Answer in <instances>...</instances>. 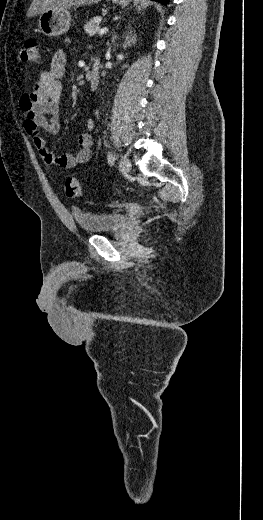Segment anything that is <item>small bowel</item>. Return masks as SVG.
I'll return each mask as SVG.
<instances>
[{
	"label": "small bowel",
	"instance_id": "c3829d8e",
	"mask_svg": "<svg viewBox=\"0 0 263 520\" xmlns=\"http://www.w3.org/2000/svg\"><path fill=\"white\" fill-rule=\"evenodd\" d=\"M67 64V56L63 50L54 53L50 68L40 74L31 92L22 95L20 108L25 114L23 127L32 138L40 157L46 164H55L62 168H73L87 163L93 154L91 132L94 122L85 121L84 131L79 135L80 150L76 154L55 155L47 147L46 139L40 131L56 134L60 129L59 104L62 95L61 78Z\"/></svg>",
	"mask_w": 263,
	"mask_h": 520
}]
</instances>
